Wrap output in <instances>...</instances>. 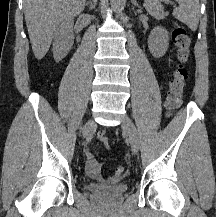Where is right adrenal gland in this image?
Segmentation results:
<instances>
[{"label": "right adrenal gland", "instance_id": "1", "mask_svg": "<svg viewBox=\"0 0 216 217\" xmlns=\"http://www.w3.org/2000/svg\"><path fill=\"white\" fill-rule=\"evenodd\" d=\"M96 4H97V0H92V1H90V2H88V3H86L85 5H86L87 7H89L90 10H92V9L95 8Z\"/></svg>", "mask_w": 216, "mask_h": 217}]
</instances>
